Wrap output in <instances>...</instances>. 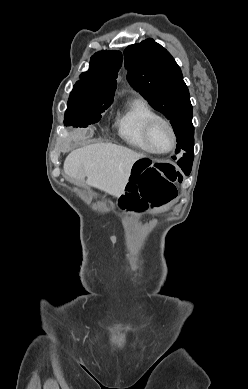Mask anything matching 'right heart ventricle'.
Returning a JSON list of instances; mask_svg holds the SVG:
<instances>
[{"mask_svg": "<svg viewBox=\"0 0 248 389\" xmlns=\"http://www.w3.org/2000/svg\"><path fill=\"white\" fill-rule=\"evenodd\" d=\"M157 116L151 106L142 98L130 100L117 116L115 126L119 136L130 146L150 152L143 137L146 123Z\"/></svg>", "mask_w": 248, "mask_h": 389, "instance_id": "obj_1", "label": "right heart ventricle"}]
</instances>
